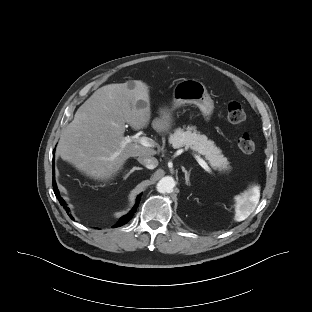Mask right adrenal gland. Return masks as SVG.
<instances>
[{
    "label": "right adrenal gland",
    "mask_w": 312,
    "mask_h": 312,
    "mask_svg": "<svg viewBox=\"0 0 312 312\" xmlns=\"http://www.w3.org/2000/svg\"><path fill=\"white\" fill-rule=\"evenodd\" d=\"M143 168L141 167H136L134 166L132 169H130L127 174L124 175L123 179L126 180L134 171L136 170H142Z\"/></svg>",
    "instance_id": "1"
}]
</instances>
